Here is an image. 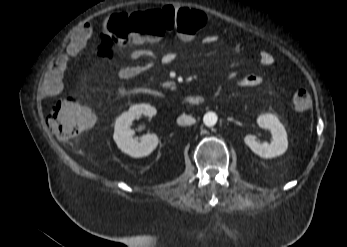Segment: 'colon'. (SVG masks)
<instances>
[{"mask_svg":"<svg viewBox=\"0 0 347 247\" xmlns=\"http://www.w3.org/2000/svg\"><path fill=\"white\" fill-rule=\"evenodd\" d=\"M206 22L207 17L203 12L187 8L164 7L143 12L115 13L105 23L98 53L110 57L116 47L124 46L130 40H157L167 32L190 37ZM292 102L296 110L305 111L310 108L312 97L307 89L298 88ZM48 123L54 135L69 140L89 130L94 124V116L74 98H62L55 103Z\"/></svg>","mask_w":347,"mask_h":247,"instance_id":"obj_1","label":"colon"}]
</instances>
